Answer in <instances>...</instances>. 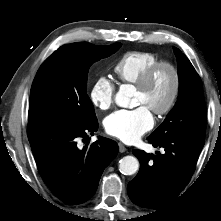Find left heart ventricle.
Wrapping results in <instances>:
<instances>
[{
	"instance_id": "obj_1",
	"label": "left heart ventricle",
	"mask_w": 221,
	"mask_h": 221,
	"mask_svg": "<svg viewBox=\"0 0 221 221\" xmlns=\"http://www.w3.org/2000/svg\"><path fill=\"white\" fill-rule=\"evenodd\" d=\"M173 84L169 69H160L144 91L136 89V105H144L153 111L162 108L168 101Z\"/></svg>"
}]
</instances>
